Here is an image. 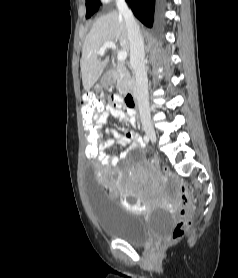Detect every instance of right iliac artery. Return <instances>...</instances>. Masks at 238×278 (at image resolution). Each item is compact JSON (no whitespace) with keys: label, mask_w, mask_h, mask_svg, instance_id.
Segmentation results:
<instances>
[{"label":"right iliac artery","mask_w":238,"mask_h":278,"mask_svg":"<svg viewBox=\"0 0 238 278\" xmlns=\"http://www.w3.org/2000/svg\"><path fill=\"white\" fill-rule=\"evenodd\" d=\"M143 139H144V141H145L146 143L149 142V137H148L147 135H144Z\"/></svg>","instance_id":"82829eb1"}]
</instances>
